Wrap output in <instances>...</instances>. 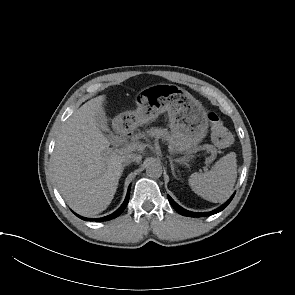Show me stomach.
<instances>
[{"label": "stomach", "instance_id": "0dacf381", "mask_svg": "<svg viewBox=\"0 0 295 295\" xmlns=\"http://www.w3.org/2000/svg\"><path fill=\"white\" fill-rule=\"evenodd\" d=\"M137 106L136 110L125 112L117 119L135 128L167 112L172 136L179 150L189 156L206 136L208 120L202 103L177 85L156 84L144 89Z\"/></svg>", "mask_w": 295, "mask_h": 295}]
</instances>
